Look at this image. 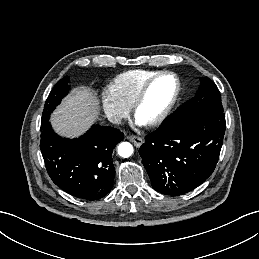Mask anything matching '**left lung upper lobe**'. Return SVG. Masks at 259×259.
I'll list each match as a JSON object with an SVG mask.
<instances>
[{
	"label": "left lung upper lobe",
	"mask_w": 259,
	"mask_h": 259,
	"mask_svg": "<svg viewBox=\"0 0 259 259\" xmlns=\"http://www.w3.org/2000/svg\"><path fill=\"white\" fill-rule=\"evenodd\" d=\"M201 85L195 97L180 106L171 116H169L159 127H168L178 120H181L195 112L211 111L223 112L220 92L209 78H200Z\"/></svg>",
	"instance_id": "obj_1"
}]
</instances>
